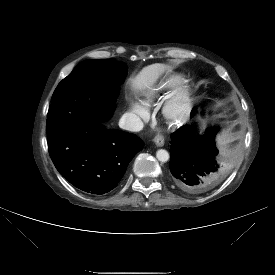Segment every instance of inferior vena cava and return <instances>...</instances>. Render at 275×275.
<instances>
[{"label":"inferior vena cava","mask_w":275,"mask_h":275,"mask_svg":"<svg viewBox=\"0 0 275 275\" xmlns=\"http://www.w3.org/2000/svg\"><path fill=\"white\" fill-rule=\"evenodd\" d=\"M143 122L132 113H125L119 121V127L128 131L138 132L143 129Z\"/></svg>","instance_id":"1"}]
</instances>
